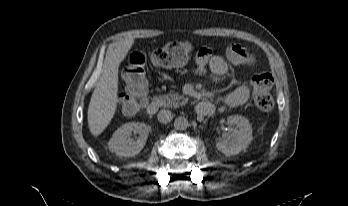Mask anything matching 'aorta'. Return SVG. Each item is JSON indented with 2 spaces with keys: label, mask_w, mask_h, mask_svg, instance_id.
<instances>
[{
  "label": "aorta",
  "mask_w": 348,
  "mask_h": 206,
  "mask_svg": "<svg viewBox=\"0 0 348 206\" xmlns=\"http://www.w3.org/2000/svg\"><path fill=\"white\" fill-rule=\"evenodd\" d=\"M188 125V120L185 117L179 116L175 119L174 127L177 130H185L188 127Z\"/></svg>",
  "instance_id": "762f6f07"
}]
</instances>
